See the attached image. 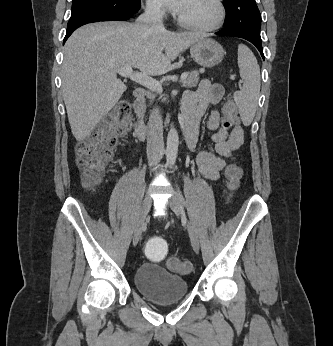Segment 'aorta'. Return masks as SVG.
<instances>
[{
    "instance_id": "aorta-1",
    "label": "aorta",
    "mask_w": 333,
    "mask_h": 346,
    "mask_svg": "<svg viewBox=\"0 0 333 346\" xmlns=\"http://www.w3.org/2000/svg\"><path fill=\"white\" fill-rule=\"evenodd\" d=\"M179 145V136L175 128H171L167 136L166 158L169 165H174Z\"/></svg>"
}]
</instances>
